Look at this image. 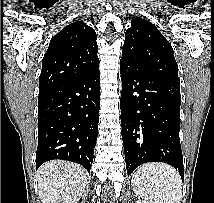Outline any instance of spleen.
Instances as JSON below:
<instances>
[{"instance_id": "3e777b00", "label": "spleen", "mask_w": 214, "mask_h": 203, "mask_svg": "<svg viewBox=\"0 0 214 203\" xmlns=\"http://www.w3.org/2000/svg\"><path fill=\"white\" fill-rule=\"evenodd\" d=\"M131 183L135 194L147 203H180L182 181L167 164L142 165L134 172Z\"/></svg>"}]
</instances>
